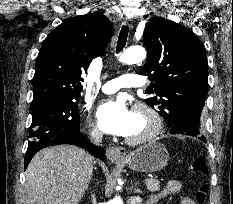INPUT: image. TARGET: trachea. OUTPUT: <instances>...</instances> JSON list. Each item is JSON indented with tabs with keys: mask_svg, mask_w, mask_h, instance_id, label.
I'll use <instances>...</instances> for the list:
<instances>
[{
	"mask_svg": "<svg viewBox=\"0 0 233 204\" xmlns=\"http://www.w3.org/2000/svg\"><path fill=\"white\" fill-rule=\"evenodd\" d=\"M129 28L126 25H123L118 37L116 51L119 53L125 47L127 38H128Z\"/></svg>",
	"mask_w": 233,
	"mask_h": 204,
	"instance_id": "1",
	"label": "trachea"
}]
</instances>
